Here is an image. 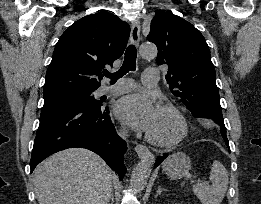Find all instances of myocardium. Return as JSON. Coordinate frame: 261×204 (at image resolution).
Returning a JSON list of instances; mask_svg holds the SVG:
<instances>
[{
  "instance_id": "1",
  "label": "myocardium",
  "mask_w": 261,
  "mask_h": 204,
  "mask_svg": "<svg viewBox=\"0 0 261 204\" xmlns=\"http://www.w3.org/2000/svg\"><path fill=\"white\" fill-rule=\"evenodd\" d=\"M157 108L171 112L178 121L179 130L177 134L171 139H165V140L157 139L153 137L151 134H149L148 132L146 133V139L151 144L159 147H171L180 143L185 138L188 132V123L184 114L177 106L169 102L159 103Z\"/></svg>"
}]
</instances>
